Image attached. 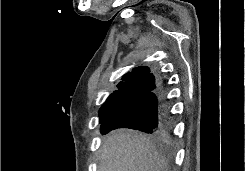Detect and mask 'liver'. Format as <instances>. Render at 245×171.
<instances>
[{"label":"liver","mask_w":245,"mask_h":171,"mask_svg":"<svg viewBox=\"0 0 245 171\" xmlns=\"http://www.w3.org/2000/svg\"><path fill=\"white\" fill-rule=\"evenodd\" d=\"M98 171H168V162L147 135L120 129L104 140Z\"/></svg>","instance_id":"6515ba94"}]
</instances>
